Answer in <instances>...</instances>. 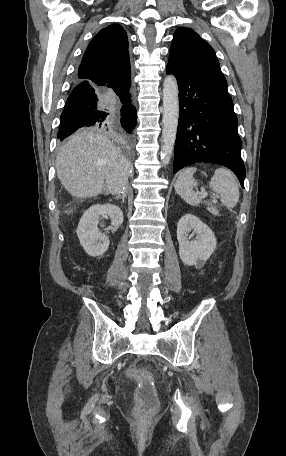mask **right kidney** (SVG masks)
Returning a JSON list of instances; mask_svg holds the SVG:
<instances>
[{"label": "right kidney", "instance_id": "obj_1", "mask_svg": "<svg viewBox=\"0 0 286 456\" xmlns=\"http://www.w3.org/2000/svg\"><path fill=\"white\" fill-rule=\"evenodd\" d=\"M100 216L111 219L113 232L123 223V212L116 205L95 204L84 212L78 224L77 236L87 254L93 257L103 255L110 243L108 237L97 227Z\"/></svg>", "mask_w": 286, "mask_h": 456}]
</instances>
